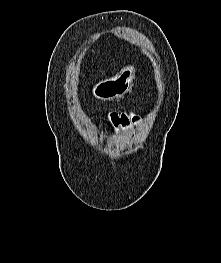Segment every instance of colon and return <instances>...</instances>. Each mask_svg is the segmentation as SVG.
I'll list each match as a JSON object with an SVG mask.
<instances>
[{"instance_id":"obj_1","label":"colon","mask_w":221,"mask_h":263,"mask_svg":"<svg viewBox=\"0 0 221 263\" xmlns=\"http://www.w3.org/2000/svg\"><path fill=\"white\" fill-rule=\"evenodd\" d=\"M109 119L114 125L133 126L139 121V117L131 112L113 111L109 113Z\"/></svg>"}]
</instances>
